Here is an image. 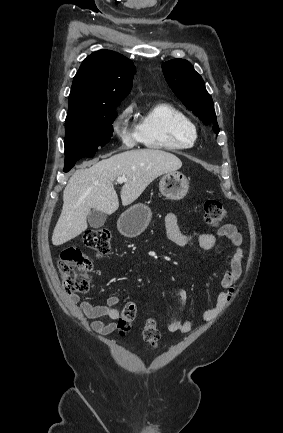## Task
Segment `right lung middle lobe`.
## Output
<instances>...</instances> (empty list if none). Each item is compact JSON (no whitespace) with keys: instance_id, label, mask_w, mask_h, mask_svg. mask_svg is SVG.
I'll return each mask as SVG.
<instances>
[{"instance_id":"obj_1","label":"right lung middle lobe","mask_w":283,"mask_h":433,"mask_svg":"<svg viewBox=\"0 0 283 433\" xmlns=\"http://www.w3.org/2000/svg\"><path fill=\"white\" fill-rule=\"evenodd\" d=\"M87 106L68 109L65 121V156L95 154L112 136L116 107Z\"/></svg>"}]
</instances>
